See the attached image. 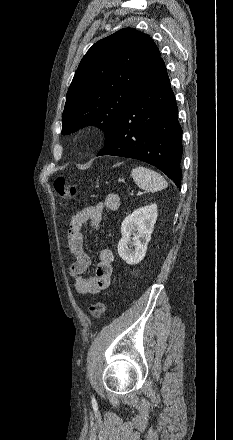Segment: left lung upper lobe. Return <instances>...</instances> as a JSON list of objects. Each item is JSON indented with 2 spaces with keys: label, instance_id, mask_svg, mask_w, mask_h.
<instances>
[{
  "label": "left lung upper lobe",
  "instance_id": "left-lung-upper-lobe-1",
  "mask_svg": "<svg viewBox=\"0 0 233 440\" xmlns=\"http://www.w3.org/2000/svg\"><path fill=\"white\" fill-rule=\"evenodd\" d=\"M160 59L149 35L121 29L95 43L82 58L66 96L62 134L86 125L115 134L129 102Z\"/></svg>",
  "mask_w": 233,
  "mask_h": 440
}]
</instances>
